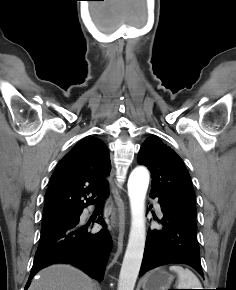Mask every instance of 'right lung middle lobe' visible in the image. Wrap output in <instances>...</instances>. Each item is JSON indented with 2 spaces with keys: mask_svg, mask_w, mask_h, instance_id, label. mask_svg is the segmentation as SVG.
<instances>
[{
  "mask_svg": "<svg viewBox=\"0 0 236 290\" xmlns=\"http://www.w3.org/2000/svg\"><path fill=\"white\" fill-rule=\"evenodd\" d=\"M79 215L80 213H68L43 217L41 232L47 231L63 224L73 222Z\"/></svg>",
  "mask_w": 236,
  "mask_h": 290,
  "instance_id": "right-lung-middle-lobe-1",
  "label": "right lung middle lobe"
}]
</instances>
